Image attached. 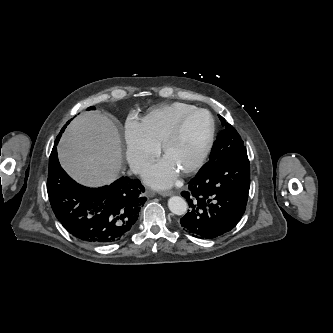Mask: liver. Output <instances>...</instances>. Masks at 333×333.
I'll return each instance as SVG.
<instances>
[{
  "label": "liver",
  "instance_id": "1",
  "mask_svg": "<svg viewBox=\"0 0 333 333\" xmlns=\"http://www.w3.org/2000/svg\"><path fill=\"white\" fill-rule=\"evenodd\" d=\"M57 149L62 167L80 184H107L119 173L120 136L114 123L101 113L85 112L76 117Z\"/></svg>",
  "mask_w": 333,
  "mask_h": 333
}]
</instances>
